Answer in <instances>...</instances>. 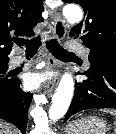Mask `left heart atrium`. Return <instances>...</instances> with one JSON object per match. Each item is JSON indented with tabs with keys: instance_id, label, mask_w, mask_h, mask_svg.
<instances>
[{
	"instance_id": "obj_1",
	"label": "left heart atrium",
	"mask_w": 116,
	"mask_h": 134,
	"mask_svg": "<svg viewBox=\"0 0 116 134\" xmlns=\"http://www.w3.org/2000/svg\"><path fill=\"white\" fill-rule=\"evenodd\" d=\"M47 75L44 74H29L25 78V84L29 89L38 88L45 80Z\"/></svg>"
}]
</instances>
